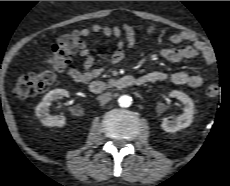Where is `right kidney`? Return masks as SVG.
I'll return each mask as SVG.
<instances>
[{
  "instance_id": "obj_1",
  "label": "right kidney",
  "mask_w": 230,
  "mask_h": 186,
  "mask_svg": "<svg viewBox=\"0 0 230 186\" xmlns=\"http://www.w3.org/2000/svg\"><path fill=\"white\" fill-rule=\"evenodd\" d=\"M68 96V91L64 89H54L44 96L42 102H40L35 109L36 115L43 125L49 127H63L66 124L64 116L50 114L49 106L52 104V101Z\"/></svg>"
}]
</instances>
